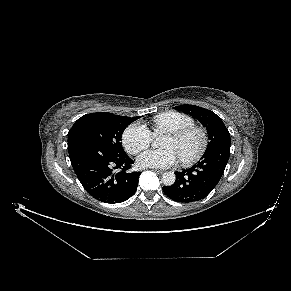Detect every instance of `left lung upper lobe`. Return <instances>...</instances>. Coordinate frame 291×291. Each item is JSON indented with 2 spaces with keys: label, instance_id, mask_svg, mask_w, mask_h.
Returning <instances> with one entry per match:
<instances>
[{
  "label": "left lung upper lobe",
  "instance_id": "1",
  "mask_svg": "<svg viewBox=\"0 0 291 291\" xmlns=\"http://www.w3.org/2000/svg\"><path fill=\"white\" fill-rule=\"evenodd\" d=\"M174 109L183 111L199 120L207 129L209 143L204 154H208L221 146H230V134L221 118L214 112L195 105H181Z\"/></svg>",
  "mask_w": 291,
  "mask_h": 291
}]
</instances>
